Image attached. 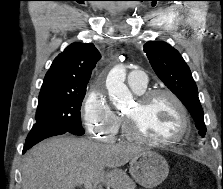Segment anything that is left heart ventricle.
<instances>
[{
	"label": "left heart ventricle",
	"instance_id": "obj_1",
	"mask_svg": "<svg viewBox=\"0 0 223 189\" xmlns=\"http://www.w3.org/2000/svg\"><path fill=\"white\" fill-rule=\"evenodd\" d=\"M126 115L133 117L138 131L150 138H174L181 128L180 112L172 100L165 96L143 107L136 102Z\"/></svg>",
	"mask_w": 223,
	"mask_h": 189
}]
</instances>
